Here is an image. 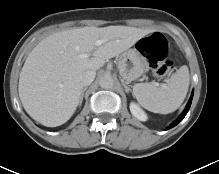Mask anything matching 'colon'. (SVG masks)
Instances as JSON below:
<instances>
[{"instance_id": "colon-1", "label": "colon", "mask_w": 219, "mask_h": 174, "mask_svg": "<svg viewBox=\"0 0 219 174\" xmlns=\"http://www.w3.org/2000/svg\"><path fill=\"white\" fill-rule=\"evenodd\" d=\"M151 71L158 77H166L173 71L172 47L161 33H153L137 43Z\"/></svg>"}]
</instances>
